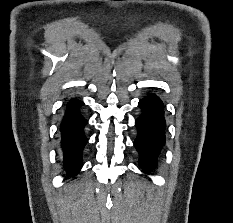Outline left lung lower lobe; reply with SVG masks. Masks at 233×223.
<instances>
[{
  "instance_id": "0a47b994",
  "label": "left lung lower lobe",
  "mask_w": 233,
  "mask_h": 223,
  "mask_svg": "<svg viewBox=\"0 0 233 223\" xmlns=\"http://www.w3.org/2000/svg\"><path fill=\"white\" fill-rule=\"evenodd\" d=\"M142 114L136 120L138 136L134 145L140 154V165L149 170L157 163V157L165 141V119L161 100L149 94L138 104Z\"/></svg>"
}]
</instances>
